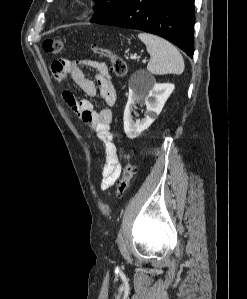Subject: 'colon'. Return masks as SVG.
<instances>
[{"label":"colon","instance_id":"colon-1","mask_svg":"<svg viewBox=\"0 0 247 299\" xmlns=\"http://www.w3.org/2000/svg\"><path fill=\"white\" fill-rule=\"evenodd\" d=\"M43 49L45 52L49 54H54V55L59 54L63 49V42L57 38H47L43 42ZM92 51L96 55L100 57H104L110 61L111 70L114 75L118 77L126 76L128 72V66H127V62L123 57L116 54L110 49L102 48L99 46H93ZM124 157L127 163L123 170L122 177L116 185V195L118 197L123 196L124 193L128 190V188L131 185L133 176L136 172V167L131 161L132 156L130 152H126Z\"/></svg>","mask_w":247,"mask_h":299}]
</instances>
